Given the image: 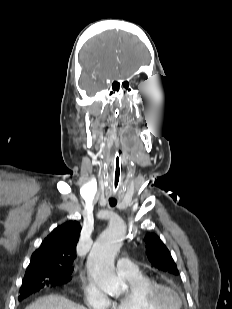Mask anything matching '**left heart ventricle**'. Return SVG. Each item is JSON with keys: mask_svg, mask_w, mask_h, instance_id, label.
Instances as JSON below:
<instances>
[{"mask_svg": "<svg viewBox=\"0 0 232 309\" xmlns=\"http://www.w3.org/2000/svg\"><path fill=\"white\" fill-rule=\"evenodd\" d=\"M165 303L168 306V309H176L177 301L174 296L168 295Z\"/></svg>", "mask_w": 232, "mask_h": 309, "instance_id": "left-heart-ventricle-1", "label": "left heart ventricle"}]
</instances>
